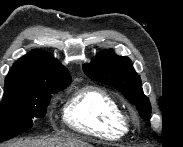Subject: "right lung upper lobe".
I'll list each match as a JSON object with an SVG mask.
<instances>
[{
	"mask_svg": "<svg viewBox=\"0 0 183 147\" xmlns=\"http://www.w3.org/2000/svg\"><path fill=\"white\" fill-rule=\"evenodd\" d=\"M68 70L48 53L32 51L14 63L6 79L5 88L40 85L62 87L69 84Z\"/></svg>",
	"mask_w": 183,
	"mask_h": 147,
	"instance_id": "obj_1",
	"label": "right lung upper lobe"
}]
</instances>
